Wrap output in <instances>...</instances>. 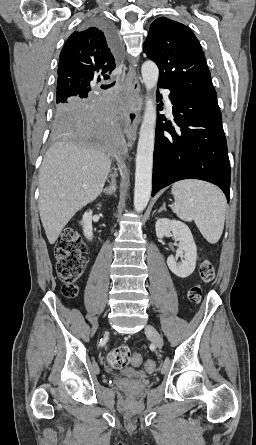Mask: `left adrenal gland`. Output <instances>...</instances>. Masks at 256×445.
Returning <instances> with one entry per match:
<instances>
[{"label":"left adrenal gland","instance_id":"obj_1","mask_svg":"<svg viewBox=\"0 0 256 445\" xmlns=\"http://www.w3.org/2000/svg\"><path fill=\"white\" fill-rule=\"evenodd\" d=\"M162 210H166V204L164 203L163 206L158 210V212H161Z\"/></svg>","mask_w":256,"mask_h":445}]
</instances>
